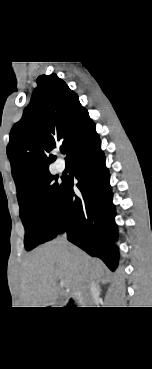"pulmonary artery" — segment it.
<instances>
[{
    "instance_id": "pulmonary-artery-1",
    "label": "pulmonary artery",
    "mask_w": 152,
    "mask_h": 369,
    "mask_svg": "<svg viewBox=\"0 0 152 369\" xmlns=\"http://www.w3.org/2000/svg\"><path fill=\"white\" fill-rule=\"evenodd\" d=\"M55 167L57 171L62 172L65 169V163L61 160L56 161Z\"/></svg>"
}]
</instances>
